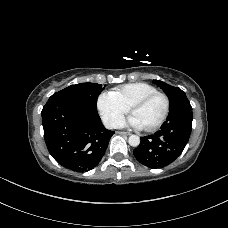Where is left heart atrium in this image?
I'll return each instance as SVG.
<instances>
[{"mask_svg": "<svg viewBox=\"0 0 228 228\" xmlns=\"http://www.w3.org/2000/svg\"><path fill=\"white\" fill-rule=\"evenodd\" d=\"M116 126H120V127H131L134 129H141L142 126L140 125V123L137 121V119L134 116H130L128 117L126 120H120Z\"/></svg>", "mask_w": 228, "mask_h": 228, "instance_id": "left-heart-atrium-1", "label": "left heart atrium"}]
</instances>
